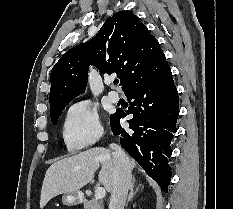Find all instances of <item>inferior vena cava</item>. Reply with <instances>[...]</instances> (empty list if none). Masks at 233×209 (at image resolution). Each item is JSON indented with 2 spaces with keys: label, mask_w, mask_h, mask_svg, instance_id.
I'll list each match as a JSON object with an SVG mask.
<instances>
[{
  "label": "inferior vena cava",
  "mask_w": 233,
  "mask_h": 209,
  "mask_svg": "<svg viewBox=\"0 0 233 209\" xmlns=\"http://www.w3.org/2000/svg\"><path fill=\"white\" fill-rule=\"evenodd\" d=\"M115 161V174L109 209H124L128 190L131 186V168L129 159L117 144H111Z\"/></svg>",
  "instance_id": "1"
}]
</instances>
